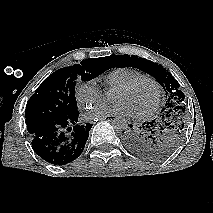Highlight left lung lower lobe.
I'll use <instances>...</instances> for the list:
<instances>
[{"instance_id": "obj_1", "label": "left lung lower lobe", "mask_w": 213, "mask_h": 213, "mask_svg": "<svg viewBox=\"0 0 213 213\" xmlns=\"http://www.w3.org/2000/svg\"><path fill=\"white\" fill-rule=\"evenodd\" d=\"M153 121L148 122L140 129L132 128L127 131H123V142L128 150H130L133 154L137 156H141V153L144 151V136L148 131H152Z\"/></svg>"}]
</instances>
